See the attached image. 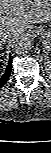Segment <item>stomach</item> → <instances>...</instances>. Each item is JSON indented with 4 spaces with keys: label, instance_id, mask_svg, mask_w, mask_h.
<instances>
[{
    "label": "stomach",
    "instance_id": "obj_1",
    "mask_svg": "<svg viewBox=\"0 0 51 153\" xmlns=\"http://www.w3.org/2000/svg\"><path fill=\"white\" fill-rule=\"evenodd\" d=\"M37 34L42 44L48 49L51 48V28L41 26L37 29Z\"/></svg>",
    "mask_w": 51,
    "mask_h": 153
}]
</instances>
